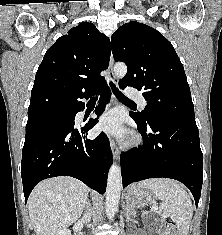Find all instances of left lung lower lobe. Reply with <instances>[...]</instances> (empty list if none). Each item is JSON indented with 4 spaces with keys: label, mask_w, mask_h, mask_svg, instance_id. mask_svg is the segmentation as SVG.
<instances>
[{
    "label": "left lung lower lobe",
    "mask_w": 222,
    "mask_h": 235,
    "mask_svg": "<svg viewBox=\"0 0 222 235\" xmlns=\"http://www.w3.org/2000/svg\"><path fill=\"white\" fill-rule=\"evenodd\" d=\"M130 116L142 133L143 146L121 153L123 188L149 178L175 179L190 189L197 207L203 182L197 126L172 118L141 121L134 113Z\"/></svg>",
    "instance_id": "left-lung-lower-lobe-1"
}]
</instances>
